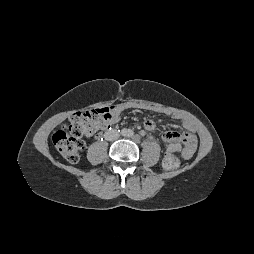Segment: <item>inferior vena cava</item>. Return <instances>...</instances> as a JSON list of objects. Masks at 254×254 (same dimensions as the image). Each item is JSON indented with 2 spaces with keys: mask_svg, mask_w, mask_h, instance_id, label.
Masks as SVG:
<instances>
[{
  "mask_svg": "<svg viewBox=\"0 0 254 254\" xmlns=\"http://www.w3.org/2000/svg\"><path fill=\"white\" fill-rule=\"evenodd\" d=\"M120 134L116 129L107 130L104 134V138L107 141H114L119 138Z\"/></svg>",
  "mask_w": 254,
  "mask_h": 254,
  "instance_id": "inferior-vena-cava-1",
  "label": "inferior vena cava"
}]
</instances>
